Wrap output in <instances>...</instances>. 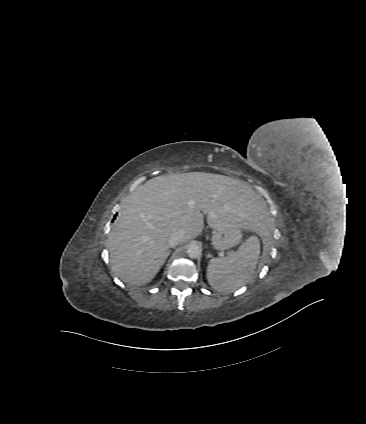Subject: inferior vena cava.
<instances>
[{
	"label": "inferior vena cava",
	"instance_id": "inferior-vena-cava-1",
	"mask_svg": "<svg viewBox=\"0 0 366 424\" xmlns=\"http://www.w3.org/2000/svg\"><path fill=\"white\" fill-rule=\"evenodd\" d=\"M183 236L184 235H183L182 232H175V233H173L169 237V239H168V245H169V247H172L173 248V247L177 246L178 244H180Z\"/></svg>",
	"mask_w": 366,
	"mask_h": 424
}]
</instances>
